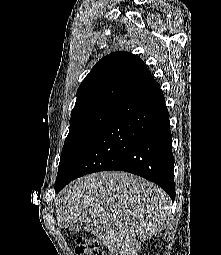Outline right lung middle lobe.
Listing matches in <instances>:
<instances>
[{"label":"right lung middle lobe","mask_w":221,"mask_h":255,"mask_svg":"<svg viewBox=\"0 0 221 255\" xmlns=\"http://www.w3.org/2000/svg\"><path fill=\"white\" fill-rule=\"evenodd\" d=\"M119 106L105 105L71 115L56 182L62 180Z\"/></svg>","instance_id":"obj_1"}]
</instances>
